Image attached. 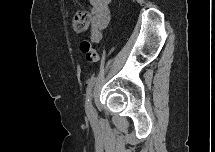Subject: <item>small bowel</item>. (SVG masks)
<instances>
[{
	"label": "small bowel",
	"instance_id": "c3829d8e",
	"mask_svg": "<svg viewBox=\"0 0 215 152\" xmlns=\"http://www.w3.org/2000/svg\"><path fill=\"white\" fill-rule=\"evenodd\" d=\"M91 9V39L98 43L102 38V31L107 27L110 20L109 0H89Z\"/></svg>",
	"mask_w": 215,
	"mask_h": 152
}]
</instances>
